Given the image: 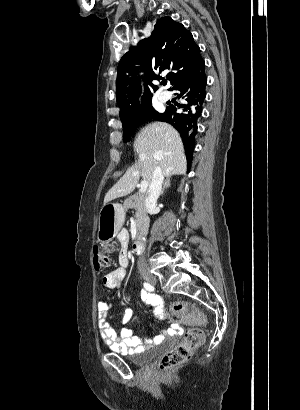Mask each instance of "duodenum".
Instances as JSON below:
<instances>
[{
  "label": "duodenum",
  "mask_w": 300,
  "mask_h": 410,
  "mask_svg": "<svg viewBox=\"0 0 300 410\" xmlns=\"http://www.w3.org/2000/svg\"><path fill=\"white\" fill-rule=\"evenodd\" d=\"M144 248V242L142 239H137L132 244V249L135 253H141Z\"/></svg>",
  "instance_id": "410a0bca"
}]
</instances>
